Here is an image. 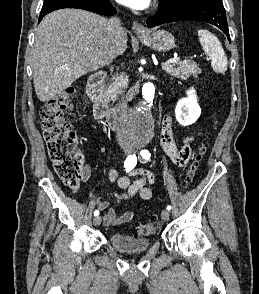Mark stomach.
Wrapping results in <instances>:
<instances>
[{
    "label": "stomach",
    "mask_w": 259,
    "mask_h": 294,
    "mask_svg": "<svg viewBox=\"0 0 259 294\" xmlns=\"http://www.w3.org/2000/svg\"><path fill=\"white\" fill-rule=\"evenodd\" d=\"M138 37L145 45L158 52H168L175 47L173 35L165 30L149 31L138 34Z\"/></svg>",
    "instance_id": "1"
}]
</instances>
